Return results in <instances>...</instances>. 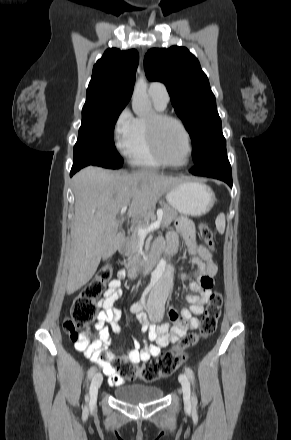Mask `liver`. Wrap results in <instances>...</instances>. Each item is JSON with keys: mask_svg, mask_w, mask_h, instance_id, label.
<instances>
[{"mask_svg": "<svg viewBox=\"0 0 291 440\" xmlns=\"http://www.w3.org/2000/svg\"><path fill=\"white\" fill-rule=\"evenodd\" d=\"M180 181L181 178L151 170L128 174L93 166L74 176L75 218L71 229L68 294L88 283L101 258L112 255L119 247L117 215L122 207L130 205L129 218H143Z\"/></svg>", "mask_w": 291, "mask_h": 440, "instance_id": "liver-1", "label": "liver"}]
</instances>
